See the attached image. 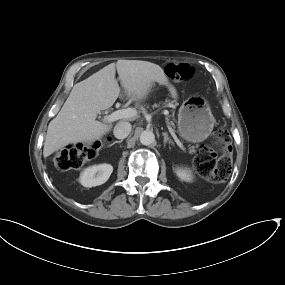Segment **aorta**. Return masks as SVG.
Returning a JSON list of instances; mask_svg holds the SVG:
<instances>
[{
	"mask_svg": "<svg viewBox=\"0 0 285 285\" xmlns=\"http://www.w3.org/2000/svg\"><path fill=\"white\" fill-rule=\"evenodd\" d=\"M139 139L141 144L148 146L155 142V135L152 131L146 130L141 133Z\"/></svg>",
	"mask_w": 285,
	"mask_h": 285,
	"instance_id": "762f6f07",
	"label": "aorta"
}]
</instances>
